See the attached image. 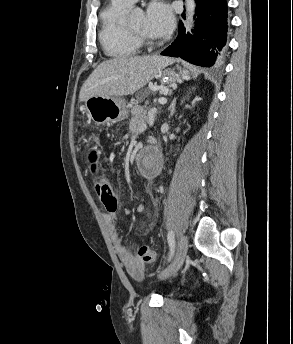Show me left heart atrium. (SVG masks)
Wrapping results in <instances>:
<instances>
[{
	"instance_id": "obj_1",
	"label": "left heart atrium",
	"mask_w": 293,
	"mask_h": 344,
	"mask_svg": "<svg viewBox=\"0 0 293 344\" xmlns=\"http://www.w3.org/2000/svg\"><path fill=\"white\" fill-rule=\"evenodd\" d=\"M174 28V16L170 7L162 2L151 3L144 16V30L153 38L168 36Z\"/></svg>"
}]
</instances>
